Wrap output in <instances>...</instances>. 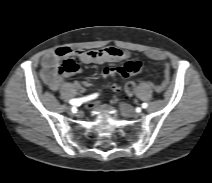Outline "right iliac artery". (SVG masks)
Wrapping results in <instances>:
<instances>
[{
	"instance_id": "obj_1",
	"label": "right iliac artery",
	"mask_w": 212,
	"mask_h": 183,
	"mask_svg": "<svg viewBox=\"0 0 212 183\" xmlns=\"http://www.w3.org/2000/svg\"><path fill=\"white\" fill-rule=\"evenodd\" d=\"M97 97V94H93V95H90V96H87V97H83V98H79V99H71L70 100V104L74 106H79L81 105L83 102H86L88 100H91V99H94Z\"/></svg>"
}]
</instances>
